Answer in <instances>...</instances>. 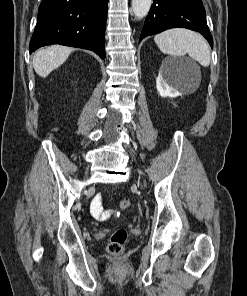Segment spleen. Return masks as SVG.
I'll list each match as a JSON object with an SVG mask.
<instances>
[{
  "instance_id": "1",
  "label": "spleen",
  "mask_w": 247,
  "mask_h": 296,
  "mask_svg": "<svg viewBox=\"0 0 247 296\" xmlns=\"http://www.w3.org/2000/svg\"><path fill=\"white\" fill-rule=\"evenodd\" d=\"M155 43L159 49L172 57L188 54L202 66L210 65V48L206 40L198 33L188 29H169L155 35Z\"/></svg>"
}]
</instances>
